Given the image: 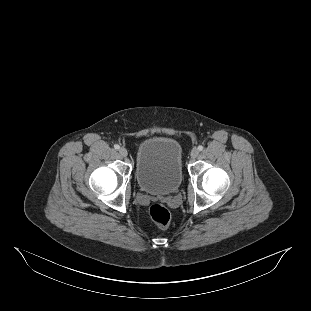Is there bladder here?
I'll return each mask as SVG.
<instances>
[{
  "mask_svg": "<svg viewBox=\"0 0 311 311\" xmlns=\"http://www.w3.org/2000/svg\"><path fill=\"white\" fill-rule=\"evenodd\" d=\"M135 176L145 193L167 195L176 192L183 181L180 143L168 136L142 141L136 155Z\"/></svg>",
  "mask_w": 311,
  "mask_h": 311,
  "instance_id": "1",
  "label": "bladder"
}]
</instances>
